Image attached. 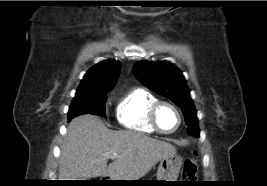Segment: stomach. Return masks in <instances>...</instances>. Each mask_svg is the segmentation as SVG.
Listing matches in <instances>:
<instances>
[{"instance_id":"stomach-1","label":"stomach","mask_w":267,"mask_h":186,"mask_svg":"<svg viewBox=\"0 0 267 186\" xmlns=\"http://www.w3.org/2000/svg\"><path fill=\"white\" fill-rule=\"evenodd\" d=\"M182 166V158L176 154H170L160 160L156 181H176ZM158 185H169L170 182H157Z\"/></svg>"}]
</instances>
